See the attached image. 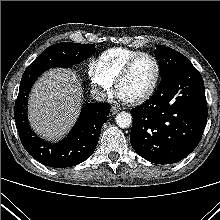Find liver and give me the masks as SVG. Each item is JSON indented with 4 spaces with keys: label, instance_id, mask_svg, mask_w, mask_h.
Listing matches in <instances>:
<instances>
[{
    "label": "liver",
    "instance_id": "obj_1",
    "mask_svg": "<svg viewBox=\"0 0 220 220\" xmlns=\"http://www.w3.org/2000/svg\"><path fill=\"white\" fill-rule=\"evenodd\" d=\"M82 97V85L75 73L62 68L44 73L29 97L31 127L48 140L61 138L76 121Z\"/></svg>",
    "mask_w": 220,
    "mask_h": 220
}]
</instances>
